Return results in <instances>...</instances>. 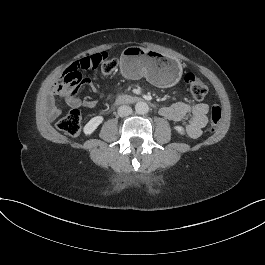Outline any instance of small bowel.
I'll use <instances>...</instances> for the list:
<instances>
[{
  "label": "small bowel",
  "mask_w": 265,
  "mask_h": 265,
  "mask_svg": "<svg viewBox=\"0 0 265 265\" xmlns=\"http://www.w3.org/2000/svg\"><path fill=\"white\" fill-rule=\"evenodd\" d=\"M82 85L90 87V89L100 98L104 96L90 79H84L79 86L71 89L64 88L60 84H56L53 88V94L57 98L65 100L71 108L93 107L95 105L94 100H81L77 96L79 88ZM208 110V105L202 102L196 103L194 105L175 103L171 106L161 108L160 113L163 117L172 121H181L188 117V123L185 128L186 134L191 138H198L201 136L202 130L207 123ZM59 113L60 110L54 105H51L49 109V117L54 119L59 115Z\"/></svg>",
  "instance_id": "obj_1"
}]
</instances>
